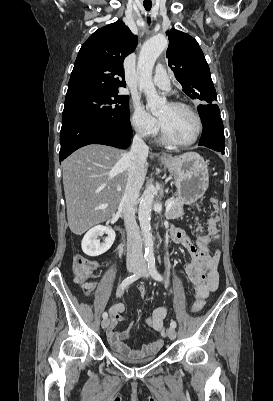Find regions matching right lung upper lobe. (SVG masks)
I'll list each match as a JSON object with an SVG mask.
<instances>
[{
	"instance_id": "right-lung-upper-lobe-1",
	"label": "right lung upper lobe",
	"mask_w": 273,
	"mask_h": 401,
	"mask_svg": "<svg viewBox=\"0 0 273 401\" xmlns=\"http://www.w3.org/2000/svg\"><path fill=\"white\" fill-rule=\"evenodd\" d=\"M137 42V37L121 21L95 31L79 50L67 95L118 91L119 86L125 87L123 61Z\"/></svg>"
}]
</instances>
